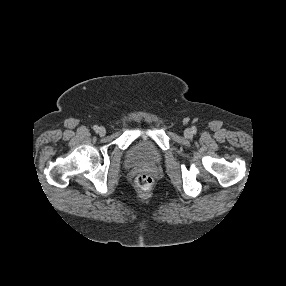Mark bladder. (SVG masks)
<instances>
[{"instance_id": "31cf9c89", "label": "bladder", "mask_w": 286, "mask_h": 286, "mask_svg": "<svg viewBox=\"0 0 286 286\" xmlns=\"http://www.w3.org/2000/svg\"><path fill=\"white\" fill-rule=\"evenodd\" d=\"M161 156L152 142L147 139L137 141L128 154L129 161L134 165L155 164Z\"/></svg>"}]
</instances>
